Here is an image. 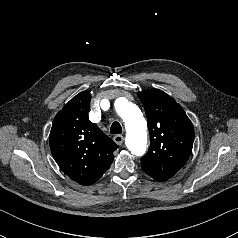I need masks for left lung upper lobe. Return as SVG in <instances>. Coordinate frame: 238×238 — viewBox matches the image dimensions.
I'll list each match as a JSON object with an SVG mask.
<instances>
[{"label":"left lung upper lobe","mask_w":238,"mask_h":238,"mask_svg":"<svg viewBox=\"0 0 238 238\" xmlns=\"http://www.w3.org/2000/svg\"><path fill=\"white\" fill-rule=\"evenodd\" d=\"M148 119L151 135L149 151L141 158L143 171L171 178L188 160L194 129L183 108L158 89L138 93Z\"/></svg>","instance_id":"left-lung-upper-lobe-1"}]
</instances>
